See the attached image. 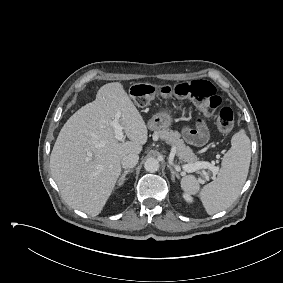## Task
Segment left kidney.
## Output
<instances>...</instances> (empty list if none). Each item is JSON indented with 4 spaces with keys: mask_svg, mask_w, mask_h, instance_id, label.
Segmentation results:
<instances>
[{
    "mask_svg": "<svg viewBox=\"0 0 283 283\" xmlns=\"http://www.w3.org/2000/svg\"><path fill=\"white\" fill-rule=\"evenodd\" d=\"M183 198L185 199L186 202L188 203H192L193 202V198L190 196V194L186 193L183 195Z\"/></svg>",
    "mask_w": 283,
    "mask_h": 283,
    "instance_id": "5707ae66",
    "label": "left kidney"
}]
</instances>
